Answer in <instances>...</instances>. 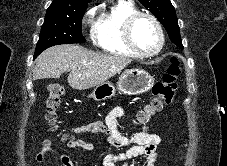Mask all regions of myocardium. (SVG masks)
Returning <instances> with one entry per match:
<instances>
[{
  "label": "myocardium",
  "mask_w": 227,
  "mask_h": 166,
  "mask_svg": "<svg viewBox=\"0 0 227 166\" xmlns=\"http://www.w3.org/2000/svg\"><path fill=\"white\" fill-rule=\"evenodd\" d=\"M142 17L148 18L150 19L157 32H158V36H159V41H158V45L157 47L150 52H145L142 51L135 43L134 41V37H133V27L135 25V23ZM123 39L124 42L126 44V46L137 56L139 57H143V58H147V57H153L157 54H159L161 52V50L163 49L164 46V42H165V37H164V32H163V28L161 26V23L159 22V20L151 13L148 12H136L132 15H130L124 22L123 24Z\"/></svg>",
  "instance_id": "myocardium-1"
}]
</instances>
